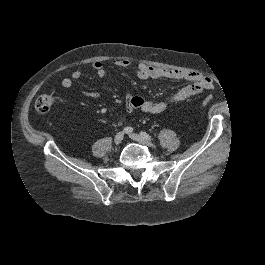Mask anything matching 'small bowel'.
<instances>
[{
  "instance_id": "small-bowel-1",
  "label": "small bowel",
  "mask_w": 265,
  "mask_h": 265,
  "mask_svg": "<svg viewBox=\"0 0 265 265\" xmlns=\"http://www.w3.org/2000/svg\"><path fill=\"white\" fill-rule=\"evenodd\" d=\"M114 66L133 68L136 71V75L139 79H174V80H187L191 83L184 86L173 94L169 99L165 101H153L145 99L142 96L132 95L126 93L125 105L128 111L142 110L149 114H159L164 112L171 105L182 102L194 95H197L204 90L211 89L213 87L210 78L188 70L178 69H162L154 66L147 65L141 62H134L132 60H117L113 62ZM92 68L99 77L106 75L107 69L105 65L99 61L92 64ZM81 77V71L75 70L72 72L71 77H66L62 80V86L64 88H70L73 85V81ZM82 93L92 99H101L102 95L95 91L82 89Z\"/></svg>"
}]
</instances>
